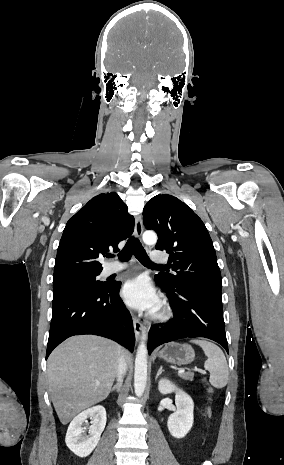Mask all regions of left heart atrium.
<instances>
[{"mask_svg":"<svg viewBox=\"0 0 284 465\" xmlns=\"http://www.w3.org/2000/svg\"><path fill=\"white\" fill-rule=\"evenodd\" d=\"M121 295L124 302L136 310L154 311L160 305L159 296L144 276L129 280L124 285Z\"/></svg>","mask_w":284,"mask_h":465,"instance_id":"1","label":"left heart atrium"}]
</instances>
